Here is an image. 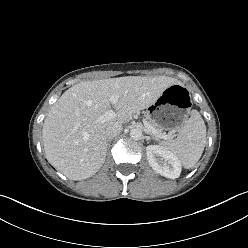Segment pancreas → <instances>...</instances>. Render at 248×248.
<instances>
[{
    "mask_svg": "<svg viewBox=\"0 0 248 248\" xmlns=\"http://www.w3.org/2000/svg\"><path fill=\"white\" fill-rule=\"evenodd\" d=\"M149 124L151 125V127L154 129V131L148 130V132L155 138H160L161 134H165L163 132V129L159 128L155 123H152L149 121Z\"/></svg>",
    "mask_w": 248,
    "mask_h": 248,
    "instance_id": "pancreas-1",
    "label": "pancreas"
}]
</instances>
